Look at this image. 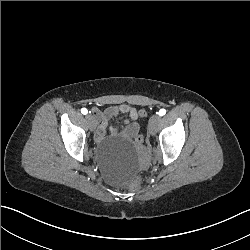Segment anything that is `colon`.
<instances>
[{"label": "colon", "instance_id": "5ec220e1", "mask_svg": "<svg viewBox=\"0 0 250 250\" xmlns=\"http://www.w3.org/2000/svg\"><path fill=\"white\" fill-rule=\"evenodd\" d=\"M138 116L139 117H145L146 116V111L144 110H139L138 111ZM144 142V138L142 135H137L135 137V143L137 145H142ZM146 183V178L143 176V175H138L135 180H133L129 185H128V190L131 192V193H138L143 187H144V184Z\"/></svg>", "mask_w": 250, "mask_h": 250}]
</instances>
